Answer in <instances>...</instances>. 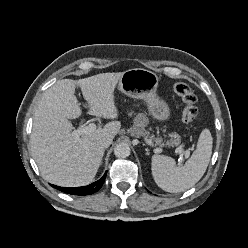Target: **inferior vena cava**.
Wrapping results in <instances>:
<instances>
[{
    "label": "inferior vena cava",
    "mask_w": 248,
    "mask_h": 248,
    "mask_svg": "<svg viewBox=\"0 0 248 248\" xmlns=\"http://www.w3.org/2000/svg\"><path fill=\"white\" fill-rule=\"evenodd\" d=\"M111 143H112V138L110 137H103L97 141V145L102 149L108 148L111 145Z\"/></svg>",
    "instance_id": "inferior-vena-cava-1"
}]
</instances>
